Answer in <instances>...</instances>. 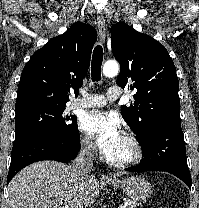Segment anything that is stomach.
Here are the masks:
<instances>
[{
	"label": "stomach",
	"mask_w": 199,
	"mask_h": 208,
	"mask_svg": "<svg viewBox=\"0 0 199 208\" xmlns=\"http://www.w3.org/2000/svg\"><path fill=\"white\" fill-rule=\"evenodd\" d=\"M107 182L116 188H121L133 201H143L152 192L151 184L140 177H129L124 180H107Z\"/></svg>",
	"instance_id": "0dacf381"
}]
</instances>
